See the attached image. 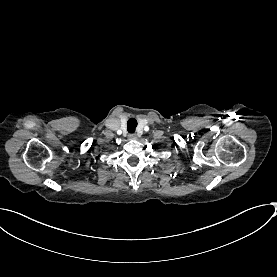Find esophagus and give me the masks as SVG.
I'll return each instance as SVG.
<instances>
[{
  "label": "esophagus",
  "mask_w": 277,
  "mask_h": 277,
  "mask_svg": "<svg viewBox=\"0 0 277 277\" xmlns=\"http://www.w3.org/2000/svg\"><path fill=\"white\" fill-rule=\"evenodd\" d=\"M128 139H129V140H135V139H137L136 133H129Z\"/></svg>",
  "instance_id": "34e87169"
}]
</instances>
